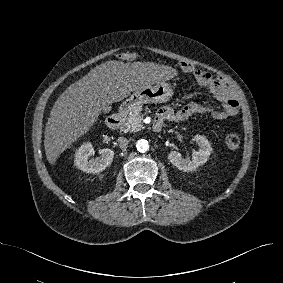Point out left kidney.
Wrapping results in <instances>:
<instances>
[{"mask_svg": "<svg viewBox=\"0 0 283 283\" xmlns=\"http://www.w3.org/2000/svg\"><path fill=\"white\" fill-rule=\"evenodd\" d=\"M194 141L199 146V150L193 153L192 159H183L178 151H171L168 155L169 161L178 169L183 171H193L199 166L205 164L212 151L210 142L202 135H195Z\"/></svg>", "mask_w": 283, "mask_h": 283, "instance_id": "1", "label": "left kidney"}]
</instances>
